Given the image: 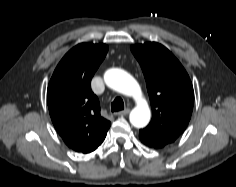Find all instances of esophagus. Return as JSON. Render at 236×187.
Masks as SVG:
<instances>
[{
	"mask_svg": "<svg viewBox=\"0 0 236 187\" xmlns=\"http://www.w3.org/2000/svg\"><path fill=\"white\" fill-rule=\"evenodd\" d=\"M130 112V109L129 108H126L120 112L117 113L118 116H125L127 115L128 113Z\"/></svg>",
	"mask_w": 236,
	"mask_h": 187,
	"instance_id": "34e87169",
	"label": "esophagus"
}]
</instances>
